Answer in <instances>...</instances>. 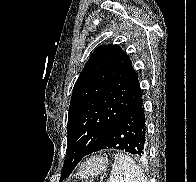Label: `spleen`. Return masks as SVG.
Segmentation results:
<instances>
[{
  "mask_svg": "<svg viewBox=\"0 0 196 182\" xmlns=\"http://www.w3.org/2000/svg\"><path fill=\"white\" fill-rule=\"evenodd\" d=\"M107 182H147L141 167L129 156L119 153L114 157L110 178Z\"/></svg>",
  "mask_w": 196,
  "mask_h": 182,
  "instance_id": "3e777b00",
  "label": "spleen"
}]
</instances>
